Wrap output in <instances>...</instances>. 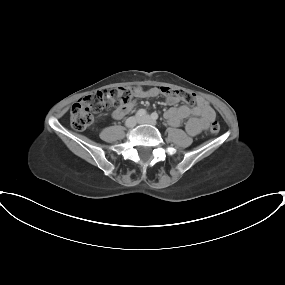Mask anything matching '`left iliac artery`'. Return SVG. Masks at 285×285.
Instances as JSON below:
<instances>
[{"instance_id": "obj_1", "label": "left iliac artery", "mask_w": 285, "mask_h": 285, "mask_svg": "<svg viewBox=\"0 0 285 285\" xmlns=\"http://www.w3.org/2000/svg\"><path fill=\"white\" fill-rule=\"evenodd\" d=\"M152 119L157 120L158 119V114L156 112H153L151 114Z\"/></svg>"}]
</instances>
